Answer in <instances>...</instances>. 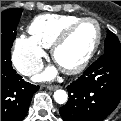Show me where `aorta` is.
Masks as SVG:
<instances>
[{"mask_svg": "<svg viewBox=\"0 0 121 121\" xmlns=\"http://www.w3.org/2000/svg\"><path fill=\"white\" fill-rule=\"evenodd\" d=\"M68 99V95L66 93V91L59 89L56 90L54 92V100L58 103V104H64L67 102Z\"/></svg>", "mask_w": 121, "mask_h": 121, "instance_id": "obj_1", "label": "aorta"}]
</instances>
